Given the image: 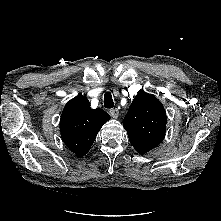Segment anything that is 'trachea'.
I'll return each instance as SVG.
<instances>
[{"label":"trachea","instance_id":"obj_1","mask_svg":"<svg viewBox=\"0 0 221 221\" xmlns=\"http://www.w3.org/2000/svg\"><path fill=\"white\" fill-rule=\"evenodd\" d=\"M104 106L107 109H111L114 107V102L110 92H106L104 95Z\"/></svg>","mask_w":221,"mask_h":221}]
</instances>
